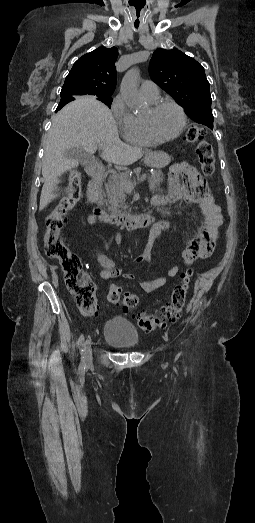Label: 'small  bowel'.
<instances>
[{"label": "small bowel", "mask_w": 255, "mask_h": 523, "mask_svg": "<svg viewBox=\"0 0 255 523\" xmlns=\"http://www.w3.org/2000/svg\"><path fill=\"white\" fill-rule=\"evenodd\" d=\"M176 168L181 172L183 182L181 183L178 179H173L169 195L160 198H163L165 203H173L179 200L195 203L203 213V221L188 240L181 254L184 264L192 265L197 259H205L212 254L218 237V229L222 223V215L220 207L215 203L207 184L201 178L196 168L187 163H182ZM87 221L90 224H95L92 216H89ZM170 228L171 224L166 220H160L155 223L150 231L145 251L140 256L134 258L132 263H151L156 241L163 232L168 231ZM116 243H121V234L119 232L116 233ZM97 261L101 267L99 278L102 280L118 276L128 280L136 278L132 272L116 268L115 262L104 253H98ZM179 271L180 268L177 265L173 266L168 271V277H175ZM138 282L146 293H152L166 284L167 277H158L152 280L138 278Z\"/></svg>", "instance_id": "c3829d8e"}]
</instances>
